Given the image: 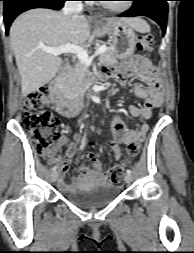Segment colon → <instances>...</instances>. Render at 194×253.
I'll return each mask as SVG.
<instances>
[{"label": "colon", "mask_w": 194, "mask_h": 253, "mask_svg": "<svg viewBox=\"0 0 194 253\" xmlns=\"http://www.w3.org/2000/svg\"><path fill=\"white\" fill-rule=\"evenodd\" d=\"M138 50L142 53H150L153 49V38L150 35L142 36L138 40ZM50 105L48 88L42 87L30 92L24 100V126L33 138L37 153L43 158L52 157L57 144L61 139V132L57 118L47 108ZM89 142H95V137H89ZM140 152V145L132 143L128 146V159L137 157ZM128 160V161H129ZM117 164L110 170L113 182H120L124 167L128 163Z\"/></svg>", "instance_id": "1"}]
</instances>
